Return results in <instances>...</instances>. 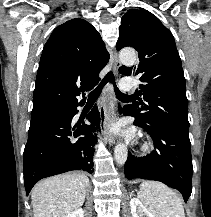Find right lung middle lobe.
<instances>
[{
	"label": "right lung middle lobe",
	"instance_id": "obj_1",
	"mask_svg": "<svg viewBox=\"0 0 211 217\" xmlns=\"http://www.w3.org/2000/svg\"><path fill=\"white\" fill-rule=\"evenodd\" d=\"M63 111H60V112H55V113H52V114H49V115H54V114H59V113H62ZM47 115V116H49ZM45 117V116H44Z\"/></svg>",
	"mask_w": 211,
	"mask_h": 217
}]
</instances>
